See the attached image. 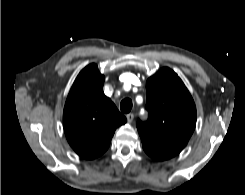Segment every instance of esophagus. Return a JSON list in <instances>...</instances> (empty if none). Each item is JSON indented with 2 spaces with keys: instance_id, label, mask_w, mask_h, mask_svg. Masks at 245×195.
Wrapping results in <instances>:
<instances>
[{
  "instance_id": "esophagus-1",
  "label": "esophagus",
  "mask_w": 245,
  "mask_h": 195,
  "mask_svg": "<svg viewBox=\"0 0 245 195\" xmlns=\"http://www.w3.org/2000/svg\"><path fill=\"white\" fill-rule=\"evenodd\" d=\"M126 118H127V121L129 123H131L133 121V119H134V114L129 113V114L126 115Z\"/></svg>"
}]
</instances>
